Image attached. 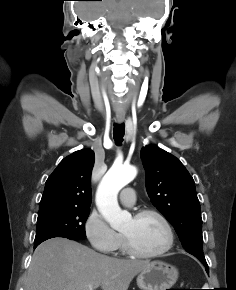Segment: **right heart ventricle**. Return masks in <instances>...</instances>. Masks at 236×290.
I'll return each instance as SVG.
<instances>
[{
    "instance_id": "1",
    "label": "right heart ventricle",
    "mask_w": 236,
    "mask_h": 290,
    "mask_svg": "<svg viewBox=\"0 0 236 290\" xmlns=\"http://www.w3.org/2000/svg\"><path fill=\"white\" fill-rule=\"evenodd\" d=\"M120 247H121L122 249L124 248L123 243L120 244Z\"/></svg>"
}]
</instances>
